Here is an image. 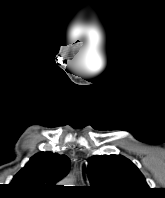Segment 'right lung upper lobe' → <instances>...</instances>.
I'll list each match as a JSON object with an SVG mask.
<instances>
[{
    "label": "right lung upper lobe",
    "mask_w": 165,
    "mask_h": 198,
    "mask_svg": "<svg viewBox=\"0 0 165 198\" xmlns=\"http://www.w3.org/2000/svg\"><path fill=\"white\" fill-rule=\"evenodd\" d=\"M66 155L41 152L34 155L13 178L10 185L28 196H48L69 171Z\"/></svg>",
    "instance_id": "obj_1"
}]
</instances>
